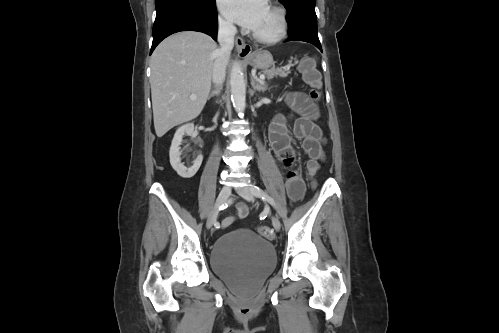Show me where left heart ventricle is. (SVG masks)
Here are the masks:
<instances>
[{"label": "left heart ventricle", "mask_w": 499, "mask_h": 333, "mask_svg": "<svg viewBox=\"0 0 499 333\" xmlns=\"http://www.w3.org/2000/svg\"><path fill=\"white\" fill-rule=\"evenodd\" d=\"M278 27L279 21L277 15L268 8L253 31L263 36H272L277 32Z\"/></svg>", "instance_id": "left-heart-ventricle-1"}]
</instances>
